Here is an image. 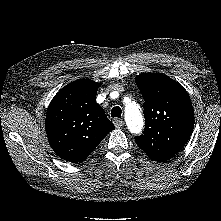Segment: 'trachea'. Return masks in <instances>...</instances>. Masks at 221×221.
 Wrapping results in <instances>:
<instances>
[{"mask_svg": "<svg viewBox=\"0 0 221 221\" xmlns=\"http://www.w3.org/2000/svg\"><path fill=\"white\" fill-rule=\"evenodd\" d=\"M122 110L120 107H113L111 110V117L113 118H120Z\"/></svg>", "mask_w": 221, "mask_h": 221, "instance_id": "obj_1", "label": "trachea"}]
</instances>
